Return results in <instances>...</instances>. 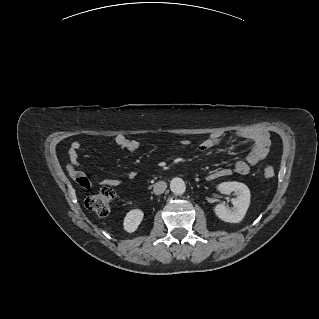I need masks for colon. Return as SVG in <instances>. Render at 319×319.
Listing matches in <instances>:
<instances>
[{
  "mask_svg": "<svg viewBox=\"0 0 319 319\" xmlns=\"http://www.w3.org/2000/svg\"><path fill=\"white\" fill-rule=\"evenodd\" d=\"M275 175V170L271 166L263 169V176L270 179ZM81 183L87 184L85 180ZM114 198V191L109 187L100 189L97 193L90 195L85 200V206L88 210L96 213L99 216L107 215L110 211L111 202Z\"/></svg>",
  "mask_w": 319,
  "mask_h": 319,
  "instance_id": "colon-1",
  "label": "colon"
}]
</instances>
